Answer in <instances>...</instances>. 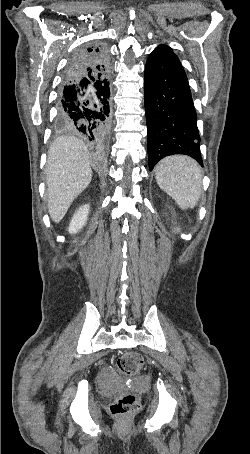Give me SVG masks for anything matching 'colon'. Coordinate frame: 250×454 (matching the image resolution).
Returning a JSON list of instances; mask_svg holds the SVG:
<instances>
[{
    "label": "colon",
    "instance_id": "1",
    "mask_svg": "<svg viewBox=\"0 0 250 454\" xmlns=\"http://www.w3.org/2000/svg\"><path fill=\"white\" fill-rule=\"evenodd\" d=\"M117 369L124 376H134L144 369V360L139 353L127 351L117 359ZM138 406V397L134 393H122L114 398L109 406L110 412L122 417Z\"/></svg>",
    "mask_w": 250,
    "mask_h": 454
}]
</instances>
